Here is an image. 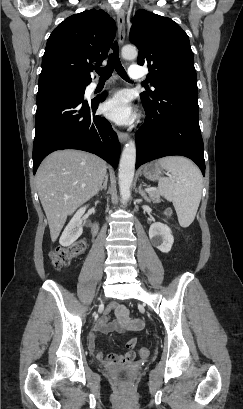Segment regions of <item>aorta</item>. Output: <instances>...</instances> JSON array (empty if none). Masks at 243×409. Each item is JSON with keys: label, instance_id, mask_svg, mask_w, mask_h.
<instances>
[{"label": "aorta", "instance_id": "1", "mask_svg": "<svg viewBox=\"0 0 243 409\" xmlns=\"http://www.w3.org/2000/svg\"><path fill=\"white\" fill-rule=\"evenodd\" d=\"M122 57L127 60L135 59L138 55L134 46H125L122 48ZM136 162V146L133 140H130L124 147L119 163V190L122 202L128 201L131 195V184L133 182Z\"/></svg>", "mask_w": 243, "mask_h": 409}]
</instances>
